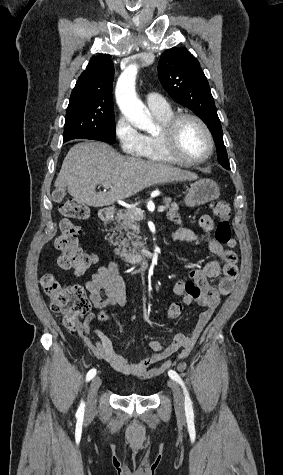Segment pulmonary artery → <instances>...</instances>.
Listing matches in <instances>:
<instances>
[{
  "mask_svg": "<svg viewBox=\"0 0 283 475\" xmlns=\"http://www.w3.org/2000/svg\"><path fill=\"white\" fill-rule=\"evenodd\" d=\"M117 90H134V89H117ZM147 107L150 110H160L167 109L169 104L167 101L160 95L156 93H149L145 97Z\"/></svg>",
  "mask_w": 283,
  "mask_h": 475,
  "instance_id": "e3ab8cb5",
  "label": "pulmonary artery"
}]
</instances>
